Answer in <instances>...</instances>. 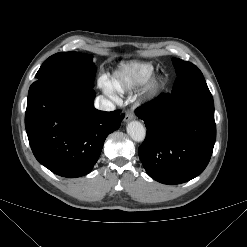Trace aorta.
Segmentation results:
<instances>
[{"instance_id":"aorta-1","label":"aorta","mask_w":247,"mask_h":247,"mask_svg":"<svg viewBox=\"0 0 247 247\" xmlns=\"http://www.w3.org/2000/svg\"><path fill=\"white\" fill-rule=\"evenodd\" d=\"M128 135L136 142H142L145 139L146 130L139 121H131L127 125Z\"/></svg>"}]
</instances>
